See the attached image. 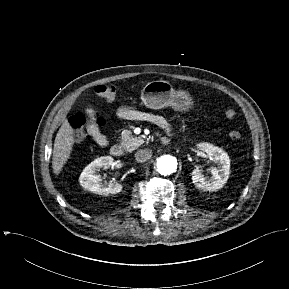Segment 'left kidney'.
<instances>
[{
  "instance_id": "5707ae66",
  "label": "left kidney",
  "mask_w": 289,
  "mask_h": 289,
  "mask_svg": "<svg viewBox=\"0 0 289 289\" xmlns=\"http://www.w3.org/2000/svg\"><path fill=\"white\" fill-rule=\"evenodd\" d=\"M198 149L205 152L212 160L218 163V167L211 170L212 176L207 178L202 170L196 168L191 173L192 181L198 189L217 191L227 182L230 174V159L226 152L209 143H200Z\"/></svg>"
}]
</instances>
